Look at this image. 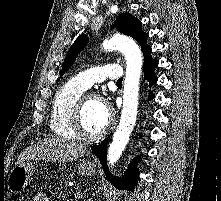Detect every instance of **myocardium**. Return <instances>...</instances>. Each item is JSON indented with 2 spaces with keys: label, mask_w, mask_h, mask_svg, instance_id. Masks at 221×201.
I'll return each mask as SVG.
<instances>
[{
  "label": "myocardium",
  "mask_w": 221,
  "mask_h": 201,
  "mask_svg": "<svg viewBox=\"0 0 221 201\" xmlns=\"http://www.w3.org/2000/svg\"><path fill=\"white\" fill-rule=\"evenodd\" d=\"M89 100H97L101 103H103L106 107H108V103L106 100L97 94H88V95H83L80 97L78 100L75 110L73 113V119H72V128L73 131L76 135V137L87 140V141H95L98 139H101L104 137L114 126V117L110 114L109 122L107 126L99 133L97 134H88L83 127V112L84 108L86 106V103Z\"/></svg>",
  "instance_id": "obj_1"
}]
</instances>
